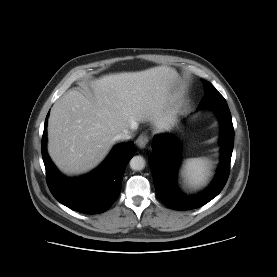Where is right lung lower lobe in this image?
<instances>
[{"label": "right lung lower lobe", "mask_w": 277, "mask_h": 277, "mask_svg": "<svg viewBox=\"0 0 277 277\" xmlns=\"http://www.w3.org/2000/svg\"><path fill=\"white\" fill-rule=\"evenodd\" d=\"M48 115L42 136V158L52 195L60 203L80 213L105 212L119 196L124 171L134 156V143L118 144L100 167L91 173L79 178H67L57 170L46 151Z\"/></svg>", "instance_id": "1"}]
</instances>
